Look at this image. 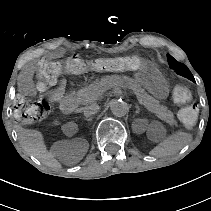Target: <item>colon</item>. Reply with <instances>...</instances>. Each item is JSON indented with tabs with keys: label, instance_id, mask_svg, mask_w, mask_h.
<instances>
[{
	"label": "colon",
	"instance_id": "colon-1",
	"mask_svg": "<svg viewBox=\"0 0 211 211\" xmlns=\"http://www.w3.org/2000/svg\"><path fill=\"white\" fill-rule=\"evenodd\" d=\"M151 69L148 60L137 55H126L110 58L87 60L81 57H68L64 60H46L38 67L36 74L37 89L45 93L63 74H81L87 71L140 72ZM174 100L182 105L179 119L188 128H193L198 120V108L191 103L192 94L189 88L178 86L173 92ZM14 115L18 122L31 125L44 120L50 113V105L44 100H32L20 96L15 102Z\"/></svg>",
	"mask_w": 211,
	"mask_h": 211
}]
</instances>
